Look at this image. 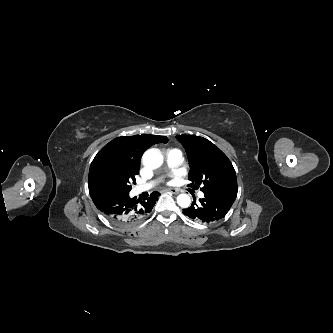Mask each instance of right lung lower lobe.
I'll use <instances>...</instances> for the list:
<instances>
[{
	"instance_id": "98d812e1",
	"label": "right lung lower lobe",
	"mask_w": 333,
	"mask_h": 333,
	"mask_svg": "<svg viewBox=\"0 0 333 333\" xmlns=\"http://www.w3.org/2000/svg\"><path fill=\"white\" fill-rule=\"evenodd\" d=\"M90 196L103 215L120 226H132L143 220L152 210L160 195L153 192L143 201L130 198L129 193L102 186L89 187Z\"/></svg>"
}]
</instances>
